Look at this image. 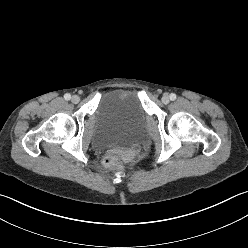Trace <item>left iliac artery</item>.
Here are the masks:
<instances>
[{
	"instance_id": "1",
	"label": "left iliac artery",
	"mask_w": 248,
	"mask_h": 248,
	"mask_svg": "<svg viewBox=\"0 0 248 248\" xmlns=\"http://www.w3.org/2000/svg\"><path fill=\"white\" fill-rule=\"evenodd\" d=\"M169 97L172 101H174L176 99V94L171 93Z\"/></svg>"
}]
</instances>
